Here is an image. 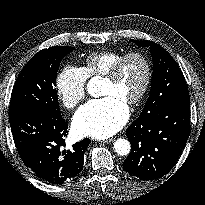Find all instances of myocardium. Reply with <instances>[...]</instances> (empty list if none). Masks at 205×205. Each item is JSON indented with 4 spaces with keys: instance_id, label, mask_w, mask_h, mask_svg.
I'll list each match as a JSON object with an SVG mask.
<instances>
[{
    "instance_id": "obj_1",
    "label": "myocardium",
    "mask_w": 205,
    "mask_h": 205,
    "mask_svg": "<svg viewBox=\"0 0 205 205\" xmlns=\"http://www.w3.org/2000/svg\"><path fill=\"white\" fill-rule=\"evenodd\" d=\"M131 58L141 60L145 66V78L140 91L134 98L126 103L128 105H136L140 103L147 94L152 80V65L149 58L145 54L141 52H129L124 54L103 76V78L107 81L115 82L118 79L124 64Z\"/></svg>"
}]
</instances>
